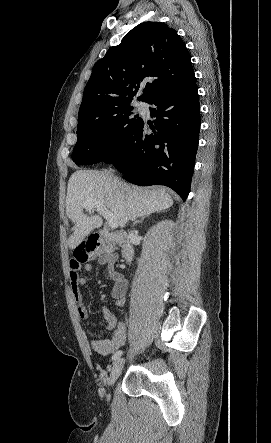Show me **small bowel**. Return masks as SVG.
<instances>
[{"label": "small bowel", "mask_w": 271, "mask_h": 443, "mask_svg": "<svg viewBox=\"0 0 271 443\" xmlns=\"http://www.w3.org/2000/svg\"><path fill=\"white\" fill-rule=\"evenodd\" d=\"M83 269L85 272L92 270V265L89 263L81 264L75 260L70 261V285L73 292L78 315L81 319L88 318V311L83 303L82 290L86 287L87 280L80 277L78 271ZM108 276L113 282L112 296L117 306H122L125 302V295L127 291V280L119 272L113 269L111 265L108 268ZM103 316L107 329L111 335L106 339L92 338L90 346L93 351L100 355H109L121 348L127 339V327L124 322H117L116 315L107 307L103 308Z\"/></svg>", "instance_id": "c3829d8e"}]
</instances>
